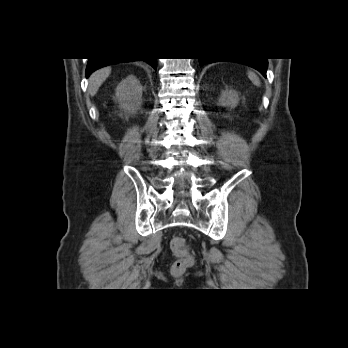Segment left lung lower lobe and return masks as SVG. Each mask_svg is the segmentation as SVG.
<instances>
[{"label":"left lung lower lobe","instance_id":"0a47b994","mask_svg":"<svg viewBox=\"0 0 348 348\" xmlns=\"http://www.w3.org/2000/svg\"><path fill=\"white\" fill-rule=\"evenodd\" d=\"M216 61H232V62H238L242 63L248 66H251L258 71L262 73L264 77H266V70H267V59H251V58H244V59H206V58H200L199 63L200 65L206 64V63H212Z\"/></svg>","mask_w":348,"mask_h":348}]
</instances>
